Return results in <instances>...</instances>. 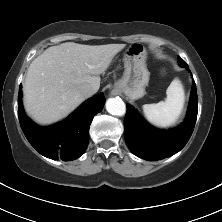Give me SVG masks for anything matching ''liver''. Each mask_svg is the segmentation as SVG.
<instances>
[{"label": "liver", "instance_id": "6515ba94", "mask_svg": "<svg viewBox=\"0 0 222 222\" xmlns=\"http://www.w3.org/2000/svg\"><path fill=\"white\" fill-rule=\"evenodd\" d=\"M125 46L66 42L47 48L27 71L23 85L26 112L42 125L64 118L85 100L82 85L99 89L100 74Z\"/></svg>", "mask_w": 222, "mask_h": 222}]
</instances>
